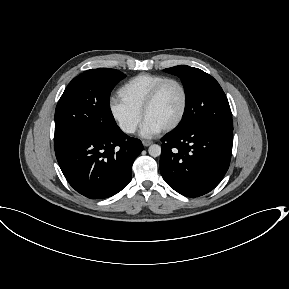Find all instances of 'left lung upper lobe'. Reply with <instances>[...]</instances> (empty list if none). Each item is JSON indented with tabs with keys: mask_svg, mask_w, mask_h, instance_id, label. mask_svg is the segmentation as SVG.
<instances>
[{
	"mask_svg": "<svg viewBox=\"0 0 289 289\" xmlns=\"http://www.w3.org/2000/svg\"><path fill=\"white\" fill-rule=\"evenodd\" d=\"M164 71L181 79L186 94L185 111L175 129H187L202 124L233 130L227 97L211 75L186 65Z\"/></svg>",
	"mask_w": 289,
	"mask_h": 289,
	"instance_id": "left-lung-upper-lobe-1",
	"label": "left lung upper lobe"
}]
</instances>
